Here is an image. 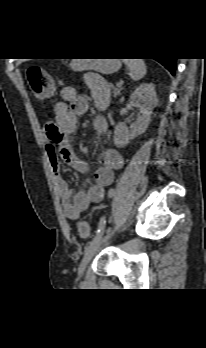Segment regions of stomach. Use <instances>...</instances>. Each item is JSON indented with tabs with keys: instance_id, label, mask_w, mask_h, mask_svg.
Segmentation results:
<instances>
[{
	"instance_id": "stomach-1",
	"label": "stomach",
	"mask_w": 206,
	"mask_h": 348,
	"mask_svg": "<svg viewBox=\"0 0 206 348\" xmlns=\"http://www.w3.org/2000/svg\"><path fill=\"white\" fill-rule=\"evenodd\" d=\"M71 68L74 71L95 70L102 74H110L121 67L118 59H73Z\"/></svg>"
}]
</instances>
